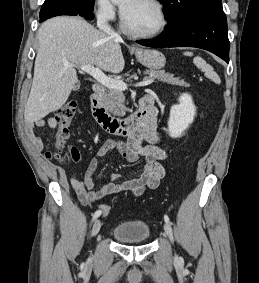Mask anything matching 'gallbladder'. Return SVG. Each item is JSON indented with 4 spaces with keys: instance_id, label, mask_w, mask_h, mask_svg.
<instances>
[{
    "instance_id": "gallbladder-1",
    "label": "gallbladder",
    "mask_w": 259,
    "mask_h": 283,
    "mask_svg": "<svg viewBox=\"0 0 259 283\" xmlns=\"http://www.w3.org/2000/svg\"><path fill=\"white\" fill-rule=\"evenodd\" d=\"M79 87H80V85H79V83H78V84H76V85L74 86L73 90H74V91H77V90L79 89Z\"/></svg>"
}]
</instances>
